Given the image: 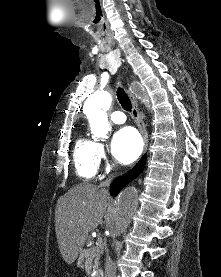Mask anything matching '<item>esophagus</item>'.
I'll list each match as a JSON object with an SVG mask.
<instances>
[{
  "instance_id": "esophagus-1",
  "label": "esophagus",
  "mask_w": 221,
  "mask_h": 277,
  "mask_svg": "<svg viewBox=\"0 0 221 277\" xmlns=\"http://www.w3.org/2000/svg\"><path fill=\"white\" fill-rule=\"evenodd\" d=\"M128 95L130 97V100L132 102V116L135 119L137 126L139 128L140 133L143 136L144 142H145V149L147 148V144H148V135H147V131H146V127L143 121V117L141 116L140 112H139V108H138V102L137 99L134 95V93L128 89L127 90Z\"/></svg>"
}]
</instances>
